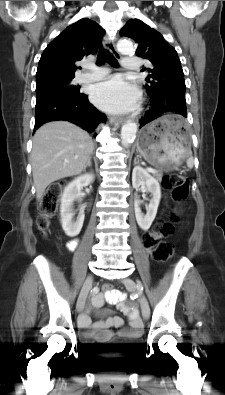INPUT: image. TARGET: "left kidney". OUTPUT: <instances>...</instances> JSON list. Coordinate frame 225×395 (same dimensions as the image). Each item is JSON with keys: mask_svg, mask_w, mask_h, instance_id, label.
<instances>
[{"mask_svg": "<svg viewBox=\"0 0 225 395\" xmlns=\"http://www.w3.org/2000/svg\"><path fill=\"white\" fill-rule=\"evenodd\" d=\"M132 185L133 188L138 189L140 186H144L148 192L152 194L147 213L143 215L140 204L141 201L135 196L134 208L135 216L139 227L142 230H148L155 219L157 209L161 199V190L159 182L156 178L151 176L146 170L140 166H136L132 172Z\"/></svg>", "mask_w": 225, "mask_h": 395, "instance_id": "5707ae66", "label": "left kidney"}]
</instances>
